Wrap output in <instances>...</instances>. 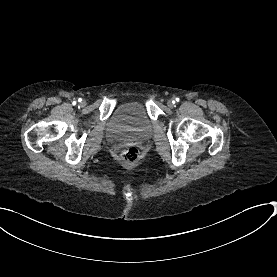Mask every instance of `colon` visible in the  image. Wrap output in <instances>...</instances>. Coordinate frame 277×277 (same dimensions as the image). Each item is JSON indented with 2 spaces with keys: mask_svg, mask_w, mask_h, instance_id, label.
Segmentation results:
<instances>
[{
  "mask_svg": "<svg viewBox=\"0 0 277 277\" xmlns=\"http://www.w3.org/2000/svg\"><path fill=\"white\" fill-rule=\"evenodd\" d=\"M140 160V149L135 144H128L121 153V161L126 166H133Z\"/></svg>",
  "mask_w": 277,
  "mask_h": 277,
  "instance_id": "colon-1",
  "label": "colon"
}]
</instances>
